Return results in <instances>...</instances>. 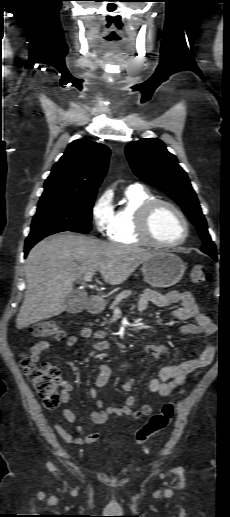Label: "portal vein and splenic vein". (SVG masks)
Here are the masks:
<instances>
[{
    "instance_id": "1",
    "label": "portal vein and splenic vein",
    "mask_w": 230,
    "mask_h": 517,
    "mask_svg": "<svg viewBox=\"0 0 230 517\" xmlns=\"http://www.w3.org/2000/svg\"><path fill=\"white\" fill-rule=\"evenodd\" d=\"M92 276H93V273L92 272H87L85 275H84V281L85 282H90L91 279H92Z\"/></svg>"
}]
</instances>
